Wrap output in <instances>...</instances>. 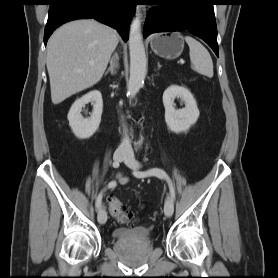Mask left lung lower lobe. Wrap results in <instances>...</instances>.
I'll return each mask as SVG.
<instances>
[{"label": "left lung lower lobe", "instance_id": "0a47b994", "mask_svg": "<svg viewBox=\"0 0 278 278\" xmlns=\"http://www.w3.org/2000/svg\"><path fill=\"white\" fill-rule=\"evenodd\" d=\"M215 0H157L144 24V37L154 32L188 30L203 39L218 54Z\"/></svg>", "mask_w": 278, "mask_h": 278}]
</instances>
